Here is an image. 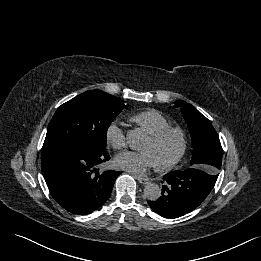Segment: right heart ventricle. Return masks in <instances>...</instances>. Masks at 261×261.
<instances>
[{
  "label": "right heart ventricle",
  "mask_w": 261,
  "mask_h": 261,
  "mask_svg": "<svg viewBox=\"0 0 261 261\" xmlns=\"http://www.w3.org/2000/svg\"><path fill=\"white\" fill-rule=\"evenodd\" d=\"M131 121L140 126L149 135L155 134L170 126L169 119L155 109L139 112L131 117Z\"/></svg>",
  "instance_id": "1"
}]
</instances>
